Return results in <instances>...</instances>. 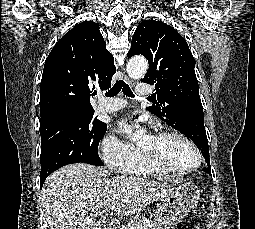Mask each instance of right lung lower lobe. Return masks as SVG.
<instances>
[{
  "mask_svg": "<svg viewBox=\"0 0 255 229\" xmlns=\"http://www.w3.org/2000/svg\"><path fill=\"white\" fill-rule=\"evenodd\" d=\"M48 175H49V174H41V176H40V184H41V187H42V185L44 184V181H45V179L47 178Z\"/></svg>",
  "mask_w": 255,
  "mask_h": 229,
  "instance_id": "obj_1",
  "label": "right lung lower lobe"
}]
</instances>
